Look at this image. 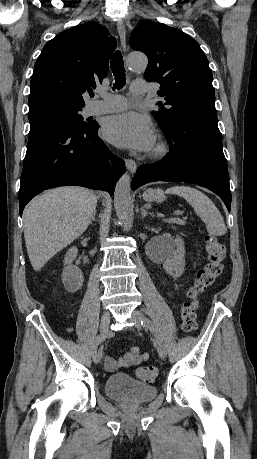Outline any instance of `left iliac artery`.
Instances as JSON below:
<instances>
[{"label":"left iliac artery","instance_id":"left-iliac-artery-1","mask_svg":"<svg viewBox=\"0 0 257 459\" xmlns=\"http://www.w3.org/2000/svg\"><path fill=\"white\" fill-rule=\"evenodd\" d=\"M141 325H143L144 327H148L150 329V331L154 334L156 342L160 341V338H159V336H158L156 330L154 329V326L152 325L150 320H148V319L142 320L141 321Z\"/></svg>","mask_w":257,"mask_h":459}]
</instances>
